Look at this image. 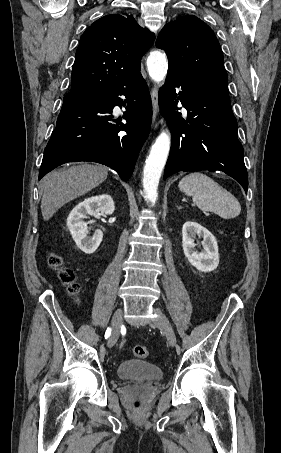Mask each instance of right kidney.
I'll return each instance as SVG.
<instances>
[{
    "label": "right kidney",
    "instance_id": "1",
    "mask_svg": "<svg viewBox=\"0 0 281 453\" xmlns=\"http://www.w3.org/2000/svg\"><path fill=\"white\" fill-rule=\"evenodd\" d=\"M114 208V200L110 194H98V196L84 198L68 214L67 227L73 237V241L86 255L95 253L103 239V233L100 229H96L92 237H88V222H84L83 218H86L88 214H103V212L112 214Z\"/></svg>",
    "mask_w": 281,
    "mask_h": 453
}]
</instances>
